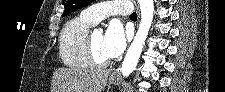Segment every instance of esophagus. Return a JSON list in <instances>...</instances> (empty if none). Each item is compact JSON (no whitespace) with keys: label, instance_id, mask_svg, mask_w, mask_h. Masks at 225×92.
<instances>
[{"label":"esophagus","instance_id":"esophagus-1","mask_svg":"<svg viewBox=\"0 0 225 92\" xmlns=\"http://www.w3.org/2000/svg\"><path fill=\"white\" fill-rule=\"evenodd\" d=\"M137 10H138V18H140V11H139V8L137 7ZM118 74V70H114L113 72H112V76L114 75H117Z\"/></svg>","mask_w":225,"mask_h":92}]
</instances>
